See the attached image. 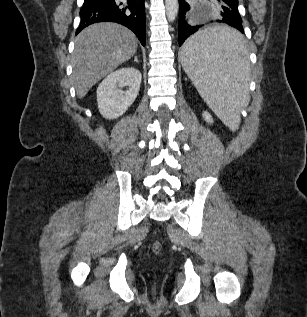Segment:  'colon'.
<instances>
[{"label": "colon", "mask_w": 307, "mask_h": 317, "mask_svg": "<svg viewBox=\"0 0 307 317\" xmlns=\"http://www.w3.org/2000/svg\"><path fill=\"white\" fill-rule=\"evenodd\" d=\"M161 244L159 242H155L152 246V250L154 253H159L161 251Z\"/></svg>", "instance_id": "5ec220e1"}]
</instances>
